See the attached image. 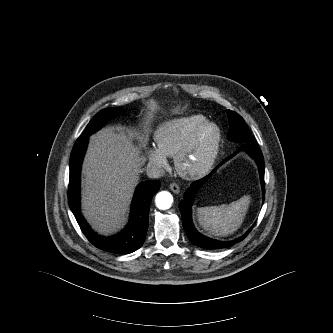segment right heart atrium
<instances>
[{
	"label": "right heart atrium",
	"instance_id": "obj_1",
	"mask_svg": "<svg viewBox=\"0 0 333 333\" xmlns=\"http://www.w3.org/2000/svg\"><path fill=\"white\" fill-rule=\"evenodd\" d=\"M146 158L148 163L158 171H164L168 168V161L157 147L149 146L146 148Z\"/></svg>",
	"mask_w": 333,
	"mask_h": 333
}]
</instances>
